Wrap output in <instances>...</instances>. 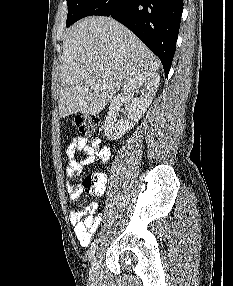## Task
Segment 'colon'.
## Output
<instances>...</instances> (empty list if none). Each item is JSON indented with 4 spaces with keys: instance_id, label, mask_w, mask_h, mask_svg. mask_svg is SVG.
<instances>
[{
    "instance_id": "5ec220e1",
    "label": "colon",
    "mask_w": 233,
    "mask_h": 286,
    "mask_svg": "<svg viewBox=\"0 0 233 286\" xmlns=\"http://www.w3.org/2000/svg\"><path fill=\"white\" fill-rule=\"evenodd\" d=\"M73 124L79 128L81 133L90 142L94 149L100 147V136L102 132V122L97 116H75ZM106 176L104 174H91L84 178L82 187L85 192L96 193L105 188Z\"/></svg>"
}]
</instances>
